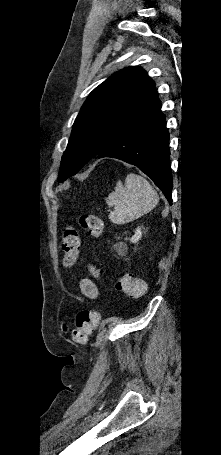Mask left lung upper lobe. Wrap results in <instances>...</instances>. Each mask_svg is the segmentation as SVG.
<instances>
[{"label":"left lung upper lobe","instance_id":"1","mask_svg":"<svg viewBox=\"0 0 221 455\" xmlns=\"http://www.w3.org/2000/svg\"><path fill=\"white\" fill-rule=\"evenodd\" d=\"M154 88L141 67L122 69L96 87L73 124L58 180L76 174L125 127L153 109L159 103Z\"/></svg>","mask_w":221,"mask_h":455}]
</instances>
